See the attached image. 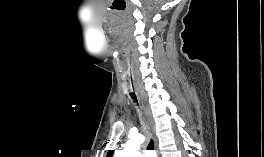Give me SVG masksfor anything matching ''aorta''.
<instances>
[{
	"instance_id": "762f6f07",
	"label": "aorta",
	"mask_w": 264,
	"mask_h": 157,
	"mask_svg": "<svg viewBox=\"0 0 264 157\" xmlns=\"http://www.w3.org/2000/svg\"><path fill=\"white\" fill-rule=\"evenodd\" d=\"M143 141L144 138L141 135L130 139L126 143L123 150H119L116 152V157H138L139 149Z\"/></svg>"
}]
</instances>
